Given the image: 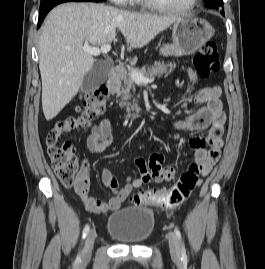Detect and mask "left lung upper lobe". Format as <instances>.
Wrapping results in <instances>:
<instances>
[{"mask_svg":"<svg viewBox=\"0 0 265 269\" xmlns=\"http://www.w3.org/2000/svg\"><path fill=\"white\" fill-rule=\"evenodd\" d=\"M206 6L210 8H218L223 6V0H204Z\"/></svg>","mask_w":265,"mask_h":269,"instance_id":"5c2ea615","label":"left lung upper lobe"}]
</instances>
